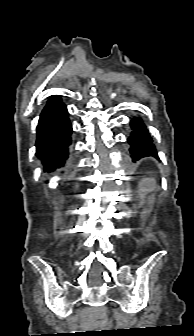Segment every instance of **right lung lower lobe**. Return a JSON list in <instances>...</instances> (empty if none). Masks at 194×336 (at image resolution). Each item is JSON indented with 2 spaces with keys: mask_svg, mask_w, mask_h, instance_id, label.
<instances>
[{
  "mask_svg": "<svg viewBox=\"0 0 194 336\" xmlns=\"http://www.w3.org/2000/svg\"><path fill=\"white\" fill-rule=\"evenodd\" d=\"M71 133L67 108L58 96H54L43 109L37 126L36 155L45 171L64 166Z\"/></svg>",
  "mask_w": 194,
  "mask_h": 336,
  "instance_id": "98d812e1",
  "label": "right lung lower lobe"
}]
</instances>
